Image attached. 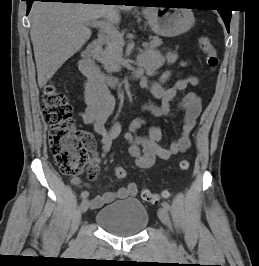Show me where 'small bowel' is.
I'll return each instance as SVG.
<instances>
[{
	"instance_id": "small-bowel-1",
	"label": "small bowel",
	"mask_w": 259,
	"mask_h": 266,
	"mask_svg": "<svg viewBox=\"0 0 259 266\" xmlns=\"http://www.w3.org/2000/svg\"><path fill=\"white\" fill-rule=\"evenodd\" d=\"M139 58L145 62L144 69L148 75L142 82L143 86L149 89L162 102L160 106L145 104L143 111L146 117L133 121L129 130L124 134V139L129 145L128 151L135 164L140 168L147 169L153 166L157 158L167 160L173 155L185 152L190 147V134L201 114L202 102L196 93L190 92L179 101L175 109L170 106V101L174 99L178 91L200 83V79L195 75L177 79L172 85H166V82L171 77L170 71L163 72L157 80L150 79L157 74L162 65L175 62L176 55L174 53L165 55L146 53ZM85 105V109L79 114L81 120L85 124L92 125L95 132L102 136V150L100 153L93 150V157L88 167V176L93 180L99 171L100 157L105 156L110 151L112 140L120 131V125L116 122L111 126H107L108 118L115 107V101L105 86H100L88 80L85 87ZM147 116L155 118L181 116L183 126L178 139L168 147L161 145L162 130L158 125L150 126L146 135H138L139 128L148 123ZM71 182L75 186H79L81 180L79 177L73 176ZM137 192V185L130 182L116 191H105L101 195L94 197L89 205L90 208L97 209L117 199L135 196Z\"/></svg>"
}]
</instances>
